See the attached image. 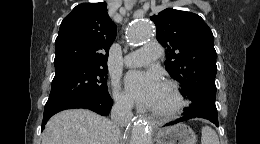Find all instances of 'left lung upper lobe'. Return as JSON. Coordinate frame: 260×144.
Returning a JSON list of instances; mask_svg holds the SVG:
<instances>
[{
    "instance_id": "1",
    "label": "left lung upper lobe",
    "mask_w": 260,
    "mask_h": 144,
    "mask_svg": "<svg viewBox=\"0 0 260 144\" xmlns=\"http://www.w3.org/2000/svg\"><path fill=\"white\" fill-rule=\"evenodd\" d=\"M151 20L156 25L157 40L167 48L166 70L192 101L185 112L216 109V51L209 26L197 14L171 8Z\"/></svg>"
}]
</instances>
